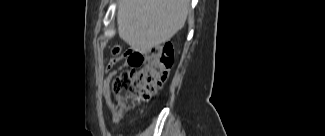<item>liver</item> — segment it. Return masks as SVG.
<instances>
[{"mask_svg":"<svg viewBox=\"0 0 325 136\" xmlns=\"http://www.w3.org/2000/svg\"><path fill=\"white\" fill-rule=\"evenodd\" d=\"M189 9L190 0H121L119 36L133 50L145 54L182 29Z\"/></svg>","mask_w":325,"mask_h":136,"instance_id":"obj_1","label":"liver"}]
</instances>
